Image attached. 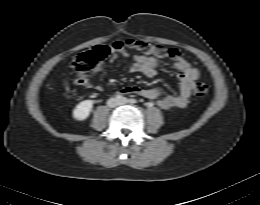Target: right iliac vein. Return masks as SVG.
Wrapping results in <instances>:
<instances>
[{
    "label": "right iliac vein",
    "mask_w": 260,
    "mask_h": 205,
    "mask_svg": "<svg viewBox=\"0 0 260 205\" xmlns=\"http://www.w3.org/2000/svg\"><path fill=\"white\" fill-rule=\"evenodd\" d=\"M118 105V99H116V98H110L109 100H108V106H110V107H115V106H117Z\"/></svg>",
    "instance_id": "1"
}]
</instances>
